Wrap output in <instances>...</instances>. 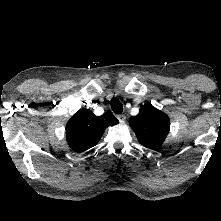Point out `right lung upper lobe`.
Returning <instances> with one entry per match:
<instances>
[{
	"instance_id": "obj_1",
	"label": "right lung upper lobe",
	"mask_w": 221,
	"mask_h": 221,
	"mask_svg": "<svg viewBox=\"0 0 221 221\" xmlns=\"http://www.w3.org/2000/svg\"><path fill=\"white\" fill-rule=\"evenodd\" d=\"M118 123L117 118L109 112L96 116L91 110L80 109L66 125L68 144L74 151L84 152L99 142L108 126Z\"/></svg>"
}]
</instances>
